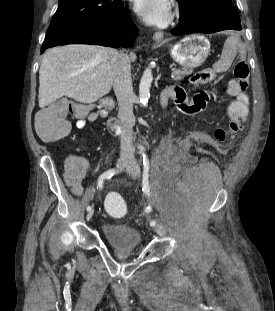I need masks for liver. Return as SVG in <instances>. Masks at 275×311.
I'll return each instance as SVG.
<instances>
[{
	"mask_svg": "<svg viewBox=\"0 0 275 311\" xmlns=\"http://www.w3.org/2000/svg\"><path fill=\"white\" fill-rule=\"evenodd\" d=\"M117 51L98 45L73 44L46 51L39 70V107L66 96L91 104L113 85L111 58ZM136 60L135 53L129 56Z\"/></svg>",
	"mask_w": 275,
	"mask_h": 311,
	"instance_id": "obj_1",
	"label": "liver"
}]
</instances>
